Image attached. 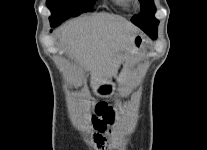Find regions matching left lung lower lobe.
Here are the masks:
<instances>
[{
  "instance_id": "left-lung-lower-lobe-1",
  "label": "left lung lower lobe",
  "mask_w": 207,
  "mask_h": 150,
  "mask_svg": "<svg viewBox=\"0 0 207 150\" xmlns=\"http://www.w3.org/2000/svg\"><path fill=\"white\" fill-rule=\"evenodd\" d=\"M149 36L155 39L157 37V34L152 33Z\"/></svg>"
}]
</instances>
